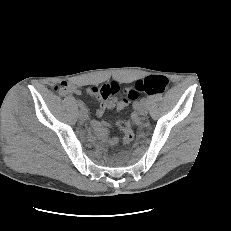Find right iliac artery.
I'll use <instances>...</instances> for the list:
<instances>
[{
  "label": "right iliac artery",
  "mask_w": 231,
  "mask_h": 231,
  "mask_svg": "<svg viewBox=\"0 0 231 231\" xmlns=\"http://www.w3.org/2000/svg\"><path fill=\"white\" fill-rule=\"evenodd\" d=\"M77 104H78V106L81 107V108L84 107V103H83L81 100H78V101H77Z\"/></svg>",
  "instance_id": "82829eb1"
}]
</instances>
